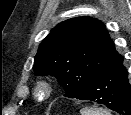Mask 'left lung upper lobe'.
Returning <instances> with one entry per match:
<instances>
[{"label":"left lung upper lobe","instance_id":"1","mask_svg":"<svg viewBox=\"0 0 131 115\" xmlns=\"http://www.w3.org/2000/svg\"><path fill=\"white\" fill-rule=\"evenodd\" d=\"M123 60L104 26L95 18L78 17L61 22L39 46L36 75H53L76 98L94 79Z\"/></svg>","mask_w":131,"mask_h":115}]
</instances>
